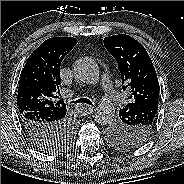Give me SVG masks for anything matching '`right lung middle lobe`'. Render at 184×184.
I'll use <instances>...</instances> for the list:
<instances>
[{
  "label": "right lung middle lobe",
  "instance_id": "right-lung-middle-lobe-1",
  "mask_svg": "<svg viewBox=\"0 0 184 184\" xmlns=\"http://www.w3.org/2000/svg\"><path fill=\"white\" fill-rule=\"evenodd\" d=\"M74 138V134L73 131L70 129L66 132V134L63 137L62 142L60 143V145H58L57 147H42V151L50 153V154H54V153H59L64 151L65 149H63L66 145H68L70 142L73 141ZM69 147V146H67Z\"/></svg>",
  "mask_w": 184,
  "mask_h": 184
}]
</instances>
